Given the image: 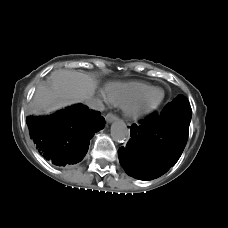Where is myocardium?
Here are the masks:
<instances>
[{
    "label": "myocardium",
    "mask_w": 228,
    "mask_h": 228,
    "mask_svg": "<svg viewBox=\"0 0 228 228\" xmlns=\"http://www.w3.org/2000/svg\"><path fill=\"white\" fill-rule=\"evenodd\" d=\"M152 91H160L161 96L159 100L154 103L153 105H144L142 103L144 97L151 93ZM165 97V92L160 87H149L147 90L143 91L139 95H137L135 98H133L131 101L126 103L124 105V112L125 114L134 120L141 119L145 117L146 115L152 113L154 110H156L161 103L163 102Z\"/></svg>",
    "instance_id": "f54148a6"
}]
</instances>
